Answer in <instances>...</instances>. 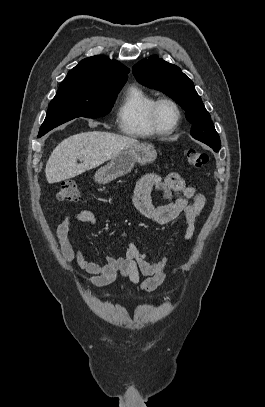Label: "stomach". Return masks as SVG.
I'll return each mask as SVG.
<instances>
[{"label": "stomach", "mask_w": 265, "mask_h": 407, "mask_svg": "<svg viewBox=\"0 0 265 407\" xmlns=\"http://www.w3.org/2000/svg\"><path fill=\"white\" fill-rule=\"evenodd\" d=\"M157 157V152L153 145L139 143L112 157L110 162L98 169L94 175L95 182L107 184L117 177L128 174L136 162L140 164L152 163Z\"/></svg>", "instance_id": "stomach-1"}]
</instances>
